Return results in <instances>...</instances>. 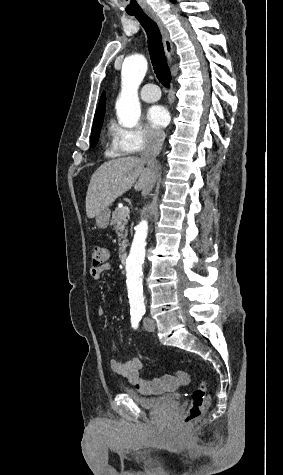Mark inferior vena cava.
I'll use <instances>...</instances> for the list:
<instances>
[{"label":"inferior vena cava","instance_id":"inferior-vena-cava-1","mask_svg":"<svg viewBox=\"0 0 283 475\" xmlns=\"http://www.w3.org/2000/svg\"><path fill=\"white\" fill-rule=\"evenodd\" d=\"M165 140V134L162 130L157 132H147L145 150L142 152L141 160L146 162V172L152 180H156L157 172L160 166L156 160L162 150V144Z\"/></svg>","mask_w":283,"mask_h":475}]
</instances>
